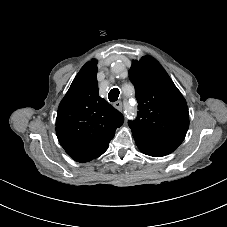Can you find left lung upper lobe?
Here are the masks:
<instances>
[{
  "label": "left lung upper lobe",
  "mask_w": 227,
  "mask_h": 227,
  "mask_svg": "<svg viewBox=\"0 0 227 227\" xmlns=\"http://www.w3.org/2000/svg\"><path fill=\"white\" fill-rule=\"evenodd\" d=\"M138 101L137 119L129 126L145 128L180 145L188 131L186 100L162 66L151 56L134 60L129 70Z\"/></svg>",
  "instance_id": "5c2ea615"
}]
</instances>
